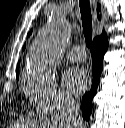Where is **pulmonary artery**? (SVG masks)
<instances>
[{
  "mask_svg": "<svg viewBox=\"0 0 125 128\" xmlns=\"http://www.w3.org/2000/svg\"><path fill=\"white\" fill-rule=\"evenodd\" d=\"M68 60L72 62H83L86 60V52L82 46H75L66 53Z\"/></svg>",
  "mask_w": 125,
  "mask_h": 128,
  "instance_id": "pulmonary-artery-1",
  "label": "pulmonary artery"
}]
</instances>
